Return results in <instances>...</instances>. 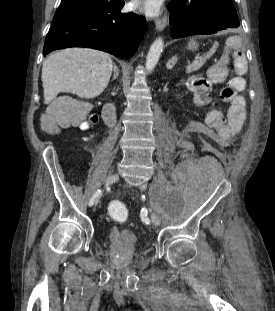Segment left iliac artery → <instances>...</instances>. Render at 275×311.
Masks as SVG:
<instances>
[{"label":"left iliac artery","mask_w":275,"mask_h":311,"mask_svg":"<svg viewBox=\"0 0 275 311\" xmlns=\"http://www.w3.org/2000/svg\"><path fill=\"white\" fill-rule=\"evenodd\" d=\"M142 211H143V209H142ZM146 213H147V212H146ZM142 217H143V220H144L146 223L149 222V219L146 217V214H145V213L142 214Z\"/></svg>","instance_id":"left-iliac-artery-1"}]
</instances>
